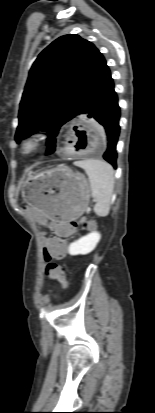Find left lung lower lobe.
<instances>
[{
  "mask_svg": "<svg viewBox=\"0 0 155 413\" xmlns=\"http://www.w3.org/2000/svg\"><path fill=\"white\" fill-rule=\"evenodd\" d=\"M79 114L95 119L105 129L107 149L103 158L117 168L116 144L119 136L120 108L114 91V83L107 65L99 75L94 87L80 106Z\"/></svg>",
  "mask_w": 155,
  "mask_h": 413,
  "instance_id": "left-lung-lower-lobe-1",
  "label": "left lung lower lobe"
}]
</instances>
